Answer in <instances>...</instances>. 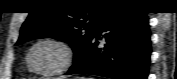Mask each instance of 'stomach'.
Instances as JSON below:
<instances>
[{
    "mask_svg": "<svg viewBox=\"0 0 177 79\" xmlns=\"http://www.w3.org/2000/svg\"><path fill=\"white\" fill-rule=\"evenodd\" d=\"M75 79H86L85 77H75Z\"/></svg>",
    "mask_w": 177,
    "mask_h": 79,
    "instance_id": "0dacf381",
    "label": "stomach"
}]
</instances>
